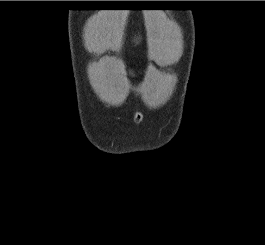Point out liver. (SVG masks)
Instances as JSON below:
<instances>
[{
	"instance_id": "1",
	"label": "liver",
	"mask_w": 265,
	"mask_h": 245,
	"mask_svg": "<svg viewBox=\"0 0 265 245\" xmlns=\"http://www.w3.org/2000/svg\"><path fill=\"white\" fill-rule=\"evenodd\" d=\"M88 48L94 52H103L108 48L117 49L119 41L102 26L96 25L87 36Z\"/></svg>"
}]
</instances>
